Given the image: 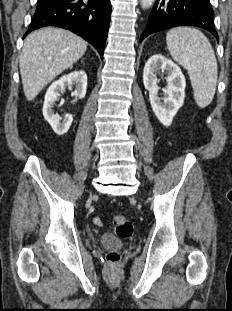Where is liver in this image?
<instances>
[{
	"instance_id": "obj_1",
	"label": "liver",
	"mask_w": 232,
	"mask_h": 311,
	"mask_svg": "<svg viewBox=\"0 0 232 311\" xmlns=\"http://www.w3.org/2000/svg\"><path fill=\"white\" fill-rule=\"evenodd\" d=\"M87 43L74 33L46 27L29 34L19 60L25 97L32 101L57 75L76 63Z\"/></svg>"
}]
</instances>
